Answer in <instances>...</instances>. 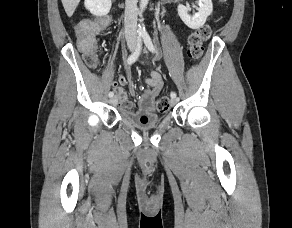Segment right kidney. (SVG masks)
Wrapping results in <instances>:
<instances>
[{
  "label": "right kidney",
  "mask_w": 292,
  "mask_h": 228,
  "mask_svg": "<svg viewBox=\"0 0 292 228\" xmlns=\"http://www.w3.org/2000/svg\"><path fill=\"white\" fill-rule=\"evenodd\" d=\"M85 8L95 16H106L112 6L111 0H85Z\"/></svg>",
  "instance_id": "1"
}]
</instances>
